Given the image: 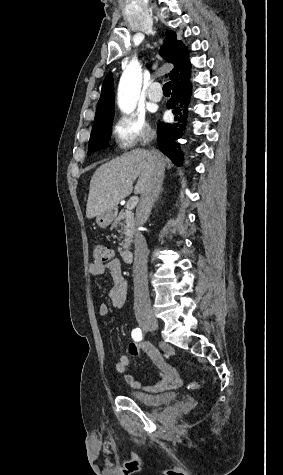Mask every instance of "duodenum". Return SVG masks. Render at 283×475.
<instances>
[{
    "instance_id": "410a0bca",
    "label": "duodenum",
    "mask_w": 283,
    "mask_h": 475,
    "mask_svg": "<svg viewBox=\"0 0 283 475\" xmlns=\"http://www.w3.org/2000/svg\"><path fill=\"white\" fill-rule=\"evenodd\" d=\"M133 259V253L130 250H125L122 252V260L125 263H130L132 262Z\"/></svg>"
}]
</instances>
